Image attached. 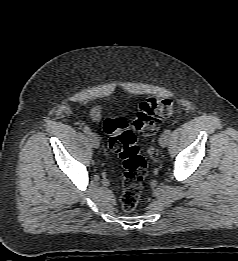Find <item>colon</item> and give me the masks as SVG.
Segmentation results:
<instances>
[{
  "instance_id": "5ec220e1",
  "label": "colon",
  "mask_w": 238,
  "mask_h": 261,
  "mask_svg": "<svg viewBox=\"0 0 238 261\" xmlns=\"http://www.w3.org/2000/svg\"><path fill=\"white\" fill-rule=\"evenodd\" d=\"M174 102L164 98H148L140 103L134 128L145 136L154 135L161 121L172 115ZM104 131L110 135L109 147L122 160L124 167L121 206L124 211H133L140 199L141 187L147 174V164L140 154L135 134L128 129L123 118L107 119Z\"/></svg>"
}]
</instances>
